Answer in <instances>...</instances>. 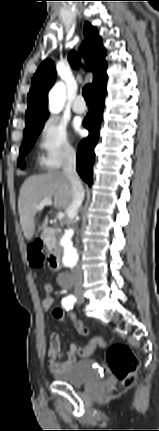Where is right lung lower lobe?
I'll return each mask as SVG.
<instances>
[{
  "label": "right lung lower lobe",
  "mask_w": 159,
  "mask_h": 431,
  "mask_svg": "<svg viewBox=\"0 0 159 431\" xmlns=\"http://www.w3.org/2000/svg\"><path fill=\"white\" fill-rule=\"evenodd\" d=\"M106 93V82L95 89L94 110L87 114L83 122V125L89 130L90 134L87 138L83 139L78 146L77 171L89 186L92 184V170L95 161L94 148L99 138V129Z\"/></svg>",
  "instance_id": "right-lung-lower-lobe-1"
}]
</instances>
